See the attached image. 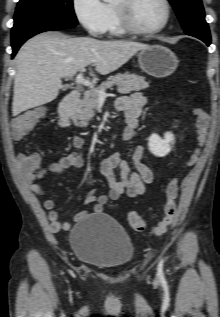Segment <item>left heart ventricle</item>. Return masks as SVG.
<instances>
[{"label": "left heart ventricle", "instance_id": "1", "mask_svg": "<svg viewBox=\"0 0 220 317\" xmlns=\"http://www.w3.org/2000/svg\"><path fill=\"white\" fill-rule=\"evenodd\" d=\"M114 5H120L116 0ZM134 25L140 29H153L159 26L165 17V7L161 0H134L130 7Z\"/></svg>", "mask_w": 220, "mask_h": 317}]
</instances>
